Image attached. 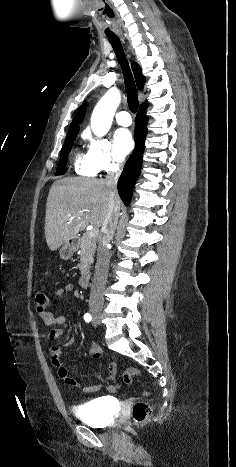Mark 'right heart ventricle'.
<instances>
[{"mask_svg":"<svg viewBox=\"0 0 236 467\" xmlns=\"http://www.w3.org/2000/svg\"><path fill=\"white\" fill-rule=\"evenodd\" d=\"M74 169L77 174L83 176L92 177L97 173L90 167L86 156L82 155L81 153H77L75 156Z\"/></svg>","mask_w":236,"mask_h":467,"instance_id":"right-heart-ventricle-1","label":"right heart ventricle"}]
</instances>
